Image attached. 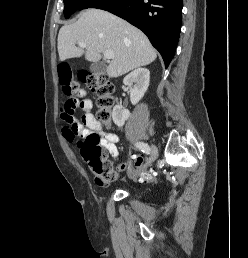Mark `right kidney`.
<instances>
[{"label": "right kidney", "mask_w": 248, "mask_h": 258, "mask_svg": "<svg viewBox=\"0 0 248 258\" xmlns=\"http://www.w3.org/2000/svg\"><path fill=\"white\" fill-rule=\"evenodd\" d=\"M149 81L150 72L146 68H138L124 78L123 83L129 88L130 101L133 105H136L143 98L148 89ZM129 117V110L119 104L114 106L112 119L118 127L123 126Z\"/></svg>", "instance_id": "1"}]
</instances>
